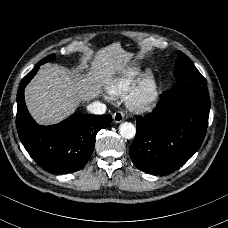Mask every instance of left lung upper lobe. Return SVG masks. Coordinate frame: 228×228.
Masks as SVG:
<instances>
[{"label": "left lung upper lobe", "instance_id": "obj_1", "mask_svg": "<svg viewBox=\"0 0 228 228\" xmlns=\"http://www.w3.org/2000/svg\"><path fill=\"white\" fill-rule=\"evenodd\" d=\"M174 74L176 78H187V85H205L206 80L191 62V60L181 51L178 52Z\"/></svg>", "mask_w": 228, "mask_h": 228}]
</instances>
